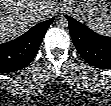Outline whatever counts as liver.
I'll list each match as a JSON object with an SVG mask.
<instances>
[{"label":"liver","instance_id":"liver-1","mask_svg":"<svg viewBox=\"0 0 111 106\" xmlns=\"http://www.w3.org/2000/svg\"><path fill=\"white\" fill-rule=\"evenodd\" d=\"M54 0H1L0 41H10L49 17Z\"/></svg>","mask_w":111,"mask_h":106}]
</instances>
